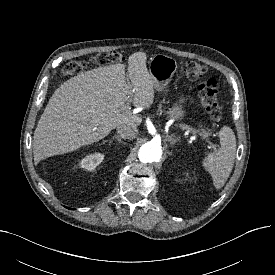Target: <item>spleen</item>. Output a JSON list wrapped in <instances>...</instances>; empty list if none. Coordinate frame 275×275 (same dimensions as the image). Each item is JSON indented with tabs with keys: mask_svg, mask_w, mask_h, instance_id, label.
<instances>
[{
	"mask_svg": "<svg viewBox=\"0 0 275 275\" xmlns=\"http://www.w3.org/2000/svg\"><path fill=\"white\" fill-rule=\"evenodd\" d=\"M220 148L204 158L202 165L212 178L214 186L219 189L227 181L236 155V138L231 128L224 126L219 132Z\"/></svg>",
	"mask_w": 275,
	"mask_h": 275,
	"instance_id": "3e777b00",
	"label": "spleen"
}]
</instances>
